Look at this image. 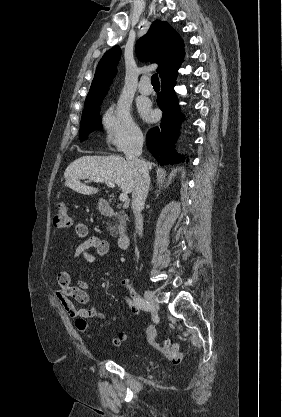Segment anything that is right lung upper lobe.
<instances>
[{
  "instance_id": "1",
  "label": "right lung upper lobe",
  "mask_w": 282,
  "mask_h": 417,
  "mask_svg": "<svg viewBox=\"0 0 282 417\" xmlns=\"http://www.w3.org/2000/svg\"><path fill=\"white\" fill-rule=\"evenodd\" d=\"M141 61L159 64L157 72L162 78L181 64L184 59L183 42L179 34L167 23L156 20L149 31L136 43ZM121 50L118 45L108 50L99 61L88 96L106 94L117 72Z\"/></svg>"
}]
</instances>
